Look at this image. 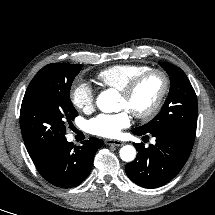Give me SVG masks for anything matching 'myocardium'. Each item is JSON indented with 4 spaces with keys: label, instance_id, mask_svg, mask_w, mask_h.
Listing matches in <instances>:
<instances>
[{
    "label": "myocardium",
    "instance_id": "1",
    "mask_svg": "<svg viewBox=\"0 0 215 215\" xmlns=\"http://www.w3.org/2000/svg\"><path fill=\"white\" fill-rule=\"evenodd\" d=\"M151 76H158L161 79L162 86L155 102L150 108L145 111H132V114L136 118L143 121L152 119L162 108L170 89V78L168 74L162 69L151 68L133 78L122 90H120L121 96L130 99L137 89Z\"/></svg>",
    "mask_w": 215,
    "mask_h": 215
}]
</instances>
